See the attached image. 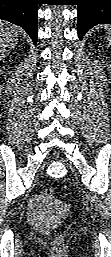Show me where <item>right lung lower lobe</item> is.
I'll return each instance as SVG.
<instances>
[{"instance_id":"obj_1","label":"right lung lower lobe","mask_w":111,"mask_h":257,"mask_svg":"<svg viewBox=\"0 0 111 257\" xmlns=\"http://www.w3.org/2000/svg\"><path fill=\"white\" fill-rule=\"evenodd\" d=\"M38 0H0V19L22 27L37 42Z\"/></svg>"}]
</instances>
